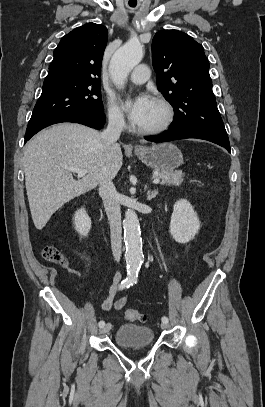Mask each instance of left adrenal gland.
I'll return each mask as SVG.
<instances>
[{
	"label": "left adrenal gland",
	"instance_id": "left-adrenal-gland-1",
	"mask_svg": "<svg viewBox=\"0 0 265 407\" xmlns=\"http://www.w3.org/2000/svg\"><path fill=\"white\" fill-rule=\"evenodd\" d=\"M147 188V186H145V189ZM158 194V190H154V191H148V200H151L152 198H155L156 195Z\"/></svg>",
	"mask_w": 265,
	"mask_h": 407
}]
</instances>
